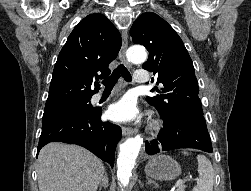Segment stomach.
I'll return each mask as SVG.
<instances>
[{"label":"stomach","instance_id":"obj_1","mask_svg":"<svg viewBox=\"0 0 251 191\" xmlns=\"http://www.w3.org/2000/svg\"><path fill=\"white\" fill-rule=\"evenodd\" d=\"M148 177L154 179H175L181 173V167L170 155H154L145 167Z\"/></svg>","mask_w":251,"mask_h":191}]
</instances>
